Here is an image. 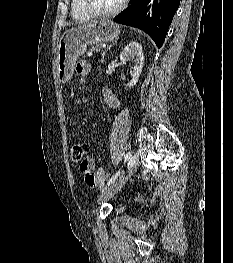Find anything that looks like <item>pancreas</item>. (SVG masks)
I'll use <instances>...</instances> for the list:
<instances>
[{
    "label": "pancreas",
    "instance_id": "cf45deb5",
    "mask_svg": "<svg viewBox=\"0 0 233 263\" xmlns=\"http://www.w3.org/2000/svg\"><path fill=\"white\" fill-rule=\"evenodd\" d=\"M100 49V47L99 46H93L90 50L91 51H97V50H99Z\"/></svg>",
    "mask_w": 233,
    "mask_h": 263
}]
</instances>
